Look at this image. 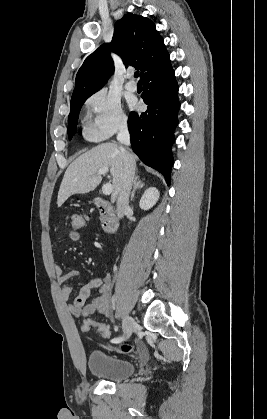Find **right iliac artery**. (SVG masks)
I'll return each instance as SVG.
<instances>
[{
	"label": "right iliac artery",
	"instance_id": "82829eb1",
	"mask_svg": "<svg viewBox=\"0 0 267 419\" xmlns=\"http://www.w3.org/2000/svg\"><path fill=\"white\" fill-rule=\"evenodd\" d=\"M124 339V337H118V338H113L111 340L112 343H119L120 341H122Z\"/></svg>",
	"mask_w": 267,
	"mask_h": 419
}]
</instances>
